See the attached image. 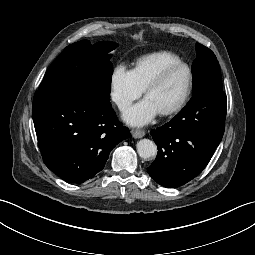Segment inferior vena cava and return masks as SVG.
Instances as JSON below:
<instances>
[{
    "mask_svg": "<svg viewBox=\"0 0 255 255\" xmlns=\"http://www.w3.org/2000/svg\"><path fill=\"white\" fill-rule=\"evenodd\" d=\"M116 103H117L119 109L122 111L127 109L130 105V102H128L127 100L121 99V98L116 99Z\"/></svg>",
    "mask_w": 255,
    "mask_h": 255,
    "instance_id": "inferior-vena-cava-1",
    "label": "inferior vena cava"
}]
</instances>
